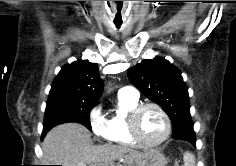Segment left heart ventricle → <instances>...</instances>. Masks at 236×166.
Segmentation results:
<instances>
[{
	"label": "left heart ventricle",
	"mask_w": 236,
	"mask_h": 166,
	"mask_svg": "<svg viewBox=\"0 0 236 166\" xmlns=\"http://www.w3.org/2000/svg\"><path fill=\"white\" fill-rule=\"evenodd\" d=\"M138 128L141 138L152 143L160 140L164 135L165 122L157 110L148 108L141 114Z\"/></svg>",
	"instance_id": "left-heart-ventricle-1"
}]
</instances>
